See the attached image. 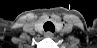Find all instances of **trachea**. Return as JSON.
<instances>
[{"label": "trachea", "mask_w": 97, "mask_h": 48, "mask_svg": "<svg viewBox=\"0 0 97 48\" xmlns=\"http://www.w3.org/2000/svg\"><path fill=\"white\" fill-rule=\"evenodd\" d=\"M44 30L54 32L55 31V26L52 22L48 21L44 24Z\"/></svg>", "instance_id": "1"}]
</instances>
